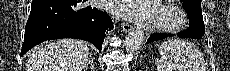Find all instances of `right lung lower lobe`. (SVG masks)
<instances>
[{"label": "right lung lower lobe", "instance_id": "right-lung-lower-lobe-1", "mask_svg": "<svg viewBox=\"0 0 230 71\" xmlns=\"http://www.w3.org/2000/svg\"><path fill=\"white\" fill-rule=\"evenodd\" d=\"M85 0H33L20 56L45 40L76 38L102 49L105 32L113 28L106 12L85 6Z\"/></svg>", "mask_w": 230, "mask_h": 71}]
</instances>
